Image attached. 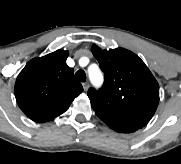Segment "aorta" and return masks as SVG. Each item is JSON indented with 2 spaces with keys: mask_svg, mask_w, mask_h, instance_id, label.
<instances>
[{
  "mask_svg": "<svg viewBox=\"0 0 181 164\" xmlns=\"http://www.w3.org/2000/svg\"><path fill=\"white\" fill-rule=\"evenodd\" d=\"M90 78L93 80L96 77H100L102 79V74L99 70L89 72Z\"/></svg>",
  "mask_w": 181,
  "mask_h": 164,
  "instance_id": "obj_1",
  "label": "aorta"
}]
</instances>
